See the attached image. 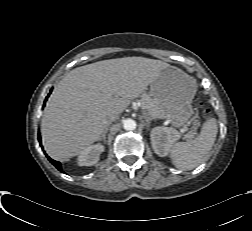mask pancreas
Here are the masks:
<instances>
[{
  "label": "pancreas",
  "instance_id": "pancreas-1",
  "mask_svg": "<svg viewBox=\"0 0 252 231\" xmlns=\"http://www.w3.org/2000/svg\"><path fill=\"white\" fill-rule=\"evenodd\" d=\"M141 99L142 104L146 106L150 112L153 113L154 118H159V110L155 105L153 99L148 94H142Z\"/></svg>",
  "mask_w": 252,
  "mask_h": 231
}]
</instances>
